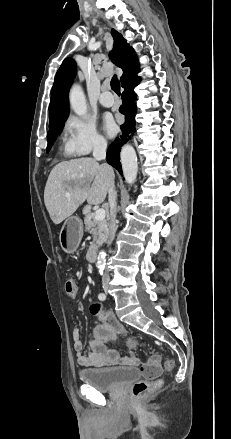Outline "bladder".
<instances>
[{
    "mask_svg": "<svg viewBox=\"0 0 231 439\" xmlns=\"http://www.w3.org/2000/svg\"><path fill=\"white\" fill-rule=\"evenodd\" d=\"M135 367L85 369L79 372L80 380L99 391H112L139 378Z\"/></svg>",
    "mask_w": 231,
    "mask_h": 439,
    "instance_id": "bladder-1",
    "label": "bladder"
}]
</instances>
